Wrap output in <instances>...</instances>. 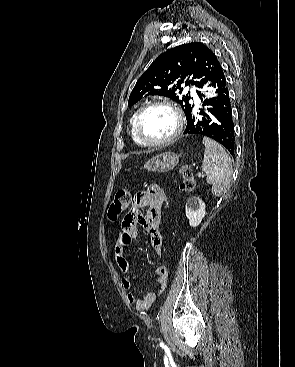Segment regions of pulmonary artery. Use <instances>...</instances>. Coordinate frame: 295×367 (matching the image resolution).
Listing matches in <instances>:
<instances>
[{
  "label": "pulmonary artery",
  "mask_w": 295,
  "mask_h": 367,
  "mask_svg": "<svg viewBox=\"0 0 295 367\" xmlns=\"http://www.w3.org/2000/svg\"><path fill=\"white\" fill-rule=\"evenodd\" d=\"M192 96H193V98H194V99H197V96H196V94L194 93V91H192Z\"/></svg>",
  "instance_id": "obj_1"
}]
</instances>
